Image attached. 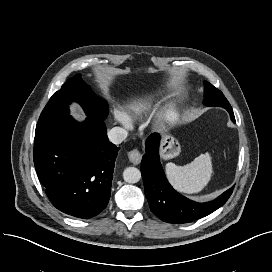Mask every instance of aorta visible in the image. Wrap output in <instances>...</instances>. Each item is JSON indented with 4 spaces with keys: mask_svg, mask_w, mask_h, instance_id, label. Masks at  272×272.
Returning <instances> with one entry per match:
<instances>
[{
    "mask_svg": "<svg viewBox=\"0 0 272 272\" xmlns=\"http://www.w3.org/2000/svg\"><path fill=\"white\" fill-rule=\"evenodd\" d=\"M123 179L128 183H137L141 179V172L135 167H127L123 172Z\"/></svg>",
    "mask_w": 272,
    "mask_h": 272,
    "instance_id": "aorta-1",
    "label": "aorta"
}]
</instances>
